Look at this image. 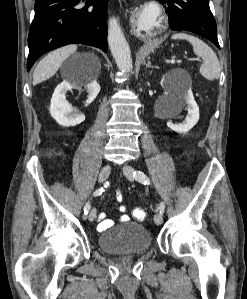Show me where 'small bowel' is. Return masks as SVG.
Here are the masks:
<instances>
[{"mask_svg":"<svg viewBox=\"0 0 247 299\" xmlns=\"http://www.w3.org/2000/svg\"><path fill=\"white\" fill-rule=\"evenodd\" d=\"M122 199H123V196H119L118 192H116L115 200L118 201V202H121ZM118 210L123 213V212H125L126 208L124 206H119ZM128 219L129 218H128L127 215H121L120 216L121 221H127ZM98 221H99V223H98L97 229L99 231H104V230H106V229H108V228H110L111 226L114 225V221L111 220V219H108L104 212L99 213Z\"/></svg>","mask_w":247,"mask_h":299,"instance_id":"obj_1","label":"small bowel"}]
</instances>
